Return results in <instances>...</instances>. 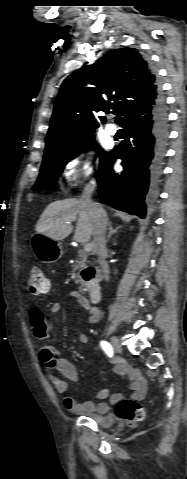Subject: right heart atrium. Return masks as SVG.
Returning <instances> with one entry per match:
<instances>
[{"mask_svg": "<svg viewBox=\"0 0 187 479\" xmlns=\"http://www.w3.org/2000/svg\"><path fill=\"white\" fill-rule=\"evenodd\" d=\"M80 175L90 180L93 179L94 159L91 153H86L80 159L67 162L62 169L61 182L63 185H71Z\"/></svg>", "mask_w": 187, "mask_h": 479, "instance_id": "right-heart-atrium-1", "label": "right heart atrium"}]
</instances>
